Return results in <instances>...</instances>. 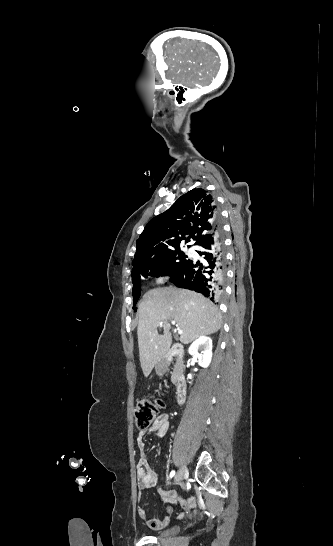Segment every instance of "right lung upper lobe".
Returning a JSON list of instances; mask_svg holds the SVG:
<instances>
[{
	"label": "right lung upper lobe",
	"instance_id": "right-lung-upper-lobe-1",
	"mask_svg": "<svg viewBox=\"0 0 333 546\" xmlns=\"http://www.w3.org/2000/svg\"><path fill=\"white\" fill-rule=\"evenodd\" d=\"M215 219V201L206 190L192 189L182 195L145 226L136 242L132 275L154 268L163 254L180 249V245L189 242L190 238L196 244L214 229Z\"/></svg>",
	"mask_w": 333,
	"mask_h": 546
}]
</instances>
